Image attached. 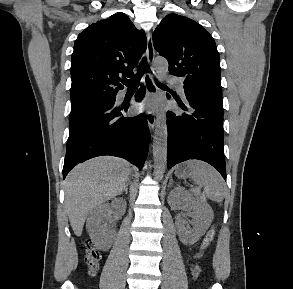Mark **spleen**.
Wrapping results in <instances>:
<instances>
[{
    "instance_id": "obj_1",
    "label": "spleen",
    "mask_w": 293,
    "mask_h": 289,
    "mask_svg": "<svg viewBox=\"0 0 293 289\" xmlns=\"http://www.w3.org/2000/svg\"><path fill=\"white\" fill-rule=\"evenodd\" d=\"M191 178L204 188L203 194L207 198L221 202L226 195V185L221 175L209 164L200 160H190Z\"/></svg>"
}]
</instances>
